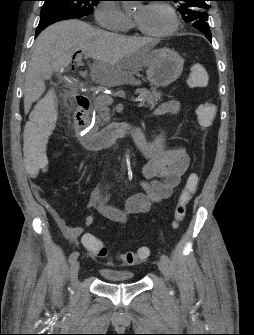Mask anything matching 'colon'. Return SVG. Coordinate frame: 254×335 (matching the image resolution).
<instances>
[{"instance_id": "colon-1", "label": "colon", "mask_w": 254, "mask_h": 335, "mask_svg": "<svg viewBox=\"0 0 254 335\" xmlns=\"http://www.w3.org/2000/svg\"><path fill=\"white\" fill-rule=\"evenodd\" d=\"M208 73L201 64H192L189 67L187 85L193 88L203 87L207 84ZM58 101L53 97L45 98L34 110L30 122L25 127L23 135V149L21 161L22 171L27 172L28 178H45L48 171L49 157L47 139L54 129L58 117ZM216 114V105L203 102L196 108V115L203 128L209 127ZM199 184V176L191 174L180 191L174 210L173 226L178 227L185 219L186 208ZM84 246L99 257H106L107 248L102 241L95 237H85ZM150 251L141 247L137 251H127L119 255L122 265L133 266L145 261Z\"/></svg>"}]
</instances>
